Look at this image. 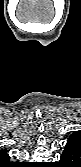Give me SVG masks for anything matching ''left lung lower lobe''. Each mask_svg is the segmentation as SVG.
Masks as SVG:
<instances>
[{
	"instance_id": "0a47b994",
	"label": "left lung lower lobe",
	"mask_w": 81,
	"mask_h": 167,
	"mask_svg": "<svg viewBox=\"0 0 81 167\" xmlns=\"http://www.w3.org/2000/svg\"><path fill=\"white\" fill-rule=\"evenodd\" d=\"M81 160V143L78 141H67L60 158L63 167H79Z\"/></svg>"
}]
</instances>
